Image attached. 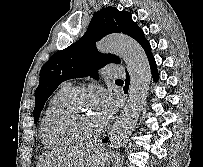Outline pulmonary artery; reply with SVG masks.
Returning <instances> with one entry per match:
<instances>
[{
    "label": "pulmonary artery",
    "instance_id": "e3ab8cb5",
    "mask_svg": "<svg viewBox=\"0 0 203 167\" xmlns=\"http://www.w3.org/2000/svg\"><path fill=\"white\" fill-rule=\"evenodd\" d=\"M102 72L108 78H118L124 75L122 67L113 64L105 66Z\"/></svg>",
    "mask_w": 203,
    "mask_h": 167
}]
</instances>
